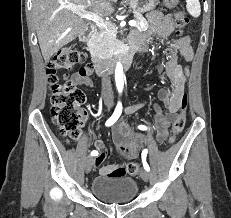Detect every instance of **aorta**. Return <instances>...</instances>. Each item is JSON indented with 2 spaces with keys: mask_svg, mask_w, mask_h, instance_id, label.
Masks as SVG:
<instances>
[{
  "mask_svg": "<svg viewBox=\"0 0 231 218\" xmlns=\"http://www.w3.org/2000/svg\"><path fill=\"white\" fill-rule=\"evenodd\" d=\"M115 82L118 90H122L124 86L123 67L121 63H117L115 68Z\"/></svg>",
  "mask_w": 231,
  "mask_h": 218,
  "instance_id": "obj_1",
  "label": "aorta"
}]
</instances>
